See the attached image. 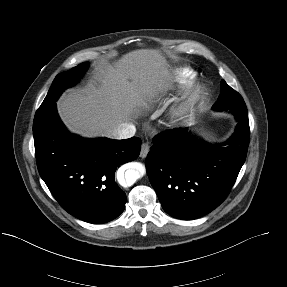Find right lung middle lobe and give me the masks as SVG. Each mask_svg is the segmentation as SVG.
<instances>
[{"instance_id": "right-lung-middle-lobe-1", "label": "right lung middle lobe", "mask_w": 287, "mask_h": 287, "mask_svg": "<svg viewBox=\"0 0 287 287\" xmlns=\"http://www.w3.org/2000/svg\"><path fill=\"white\" fill-rule=\"evenodd\" d=\"M87 66L88 63L84 62L67 72H62L58 74L54 79L48 91V94L40 107L55 102L64 89H66L68 86L75 84L80 79V77L85 72Z\"/></svg>"}]
</instances>
